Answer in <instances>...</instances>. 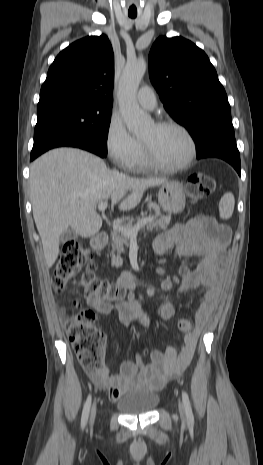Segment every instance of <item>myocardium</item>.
Returning a JSON list of instances; mask_svg holds the SVG:
<instances>
[{
  "mask_svg": "<svg viewBox=\"0 0 263 465\" xmlns=\"http://www.w3.org/2000/svg\"><path fill=\"white\" fill-rule=\"evenodd\" d=\"M154 125L156 128H159V129L176 128L180 130L189 141L190 152H189L188 157L183 162L179 164H175V165H168V164H164L161 161H159L158 158L153 153L151 147L146 142L141 140V145L143 148L144 156L149 166L154 169L165 171V172H176V171H181V170L188 168L197 156V143H196V140L193 134L190 132V130L187 127H185L183 124L177 121H174V120H161V121L155 122Z\"/></svg>",
  "mask_w": 263,
  "mask_h": 465,
  "instance_id": "obj_1",
  "label": "myocardium"
}]
</instances>
